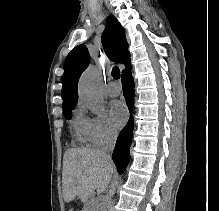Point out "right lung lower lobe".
Masks as SVG:
<instances>
[{"instance_id":"obj_1","label":"right lung lower lobe","mask_w":219,"mask_h":211,"mask_svg":"<svg viewBox=\"0 0 219 211\" xmlns=\"http://www.w3.org/2000/svg\"><path fill=\"white\" fill-rule=\"evenodd\" d=\"M131 69V64L127 65L126 69L122 71L121 75L123 94L125 96L130 112L132 110L134 98V81L130 71ZM133 127L134 122L133 117L131 116L128 124L119 134L114 152L112 154L113 161L117 167L119 174H122L124 172L130 160L129 148L132 140Z\"/></svg>"}]
</instances>
